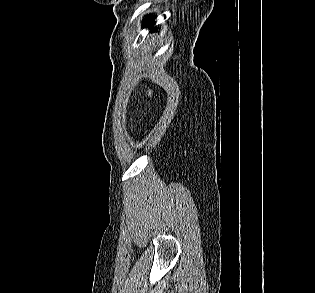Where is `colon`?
Segmentation results:
<instances>
[{"label":"colon","instance_id":"1","mask_svg":"<svg viewBox=\"0 0 315 293\" xmlns=\"http://www.w3.org/2000/svg\"><path fill=\"white\" fill-rule=\"evenodd\" d=\"M148 94H149V96L150 97H152L153 96V93H152V91L151 90H148ZM152 113H151V116L153 117V118H156L157 116H158V114H159V107L157 106V105H154L153 107H152Z\"/></svg>","mask_w":315,"mask_h":293}]
</instances>
